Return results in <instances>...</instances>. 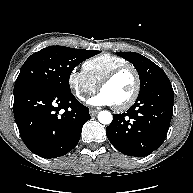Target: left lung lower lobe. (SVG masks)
<instances>
[{"mask_svg":"<svg viewBox=\"0 0 193 193\" xmlns=\"http://www.w3.org/2000/svg\"><path fill=\"white\" fill-rule=\"evenodd\" d=\"M174 91L163 77L138 95L135 104L122 114H113L106 128L111 144L121 153L144 157L158 149L166 138L173 115Z\"/></svg>","mask_w":193,"mask_h":193,"instance_id":"0a47b994","label":"left lung lower lobe"}]
</instances>
